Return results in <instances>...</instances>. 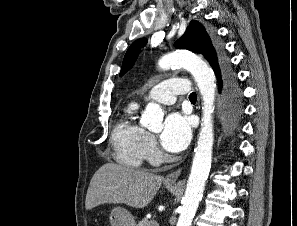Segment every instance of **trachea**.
I'll return each instance as SVG.
<instances>
[{
    "mask_svg": "<svg viewBox=\"0 0 297 226\" xmlns=\"http://www.w3.org/2000/svg\"><path fill=\"white\" fill-rule=\"evenodd\" d=\"M189 99L191 102H195L197 100L196 93L195 92L191 93L189 96Z\"/></svg>",
    "mask_w": 297,
    "mask_h": 226,
    "instance_id": "obj_1",
    "label": "trachea"
}]
</instances>
